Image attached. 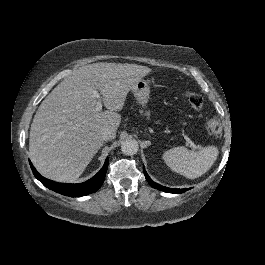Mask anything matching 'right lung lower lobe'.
Segmentation results:
<instances>
[{
  "label": "right lung lower lobe",
  "instance_id": "98d812e1",
  "mask_svg": "<svg viewBox=\"0 0 265 265\" xmlns=\"http://www.w3.org/2000/svg\"><path fill=\"white\" fill-rule=\"evenodd\" d=\"M30 166L34 176L47 188L65 196L80 197V196H85L87 194H91L97 191L101 187L105 179L106 170L108 168V158L106 159L102 169L93 178L79 184L58 183L48 180L42 177L36 171V169L33 167L31 162Z\"/></svg>",
  "mask_w": 265,
  "mask_h": 265
}]
</instances>
